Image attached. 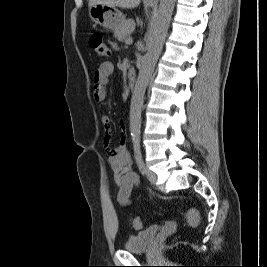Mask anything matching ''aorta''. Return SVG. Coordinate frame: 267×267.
Masks as SVG:
<instances>
[{
    "instance_id": "obj_1",
    "label": "aorta",
    "mask_w": 267,
    "mask_h": 267,
    "mask_svg": "<svg viewBox=\"0 0 267 267\" xmlns=\"http://www.w3.org/2000/svg\"><path fill=\"white\" fill-rule=\"evenodd\" d=\"M175 1L176 0H160L157 16L153 21L152 28L147 37V50L142 59L130 104V131L134 141L140 139L141 112L146 87L148 86L157 60L161 54Z\"/></svg>"
}]
</instances>
